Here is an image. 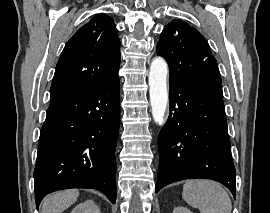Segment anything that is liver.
I'll use <instances>...</instances> for the list:
<instances>
[{"mask_svg": "<svg viewBox=\"0 0 270 213\" xmlns=\"http://www.w3.org/2000/svg\"><path fill=\"white\" fill-rule=\"evenodd\" d=\"M79 197V191L64 190L46 197L42 202V213H62Z\"/></svg>", "mask_w": 270, "mask_h": 213, "instance_id": "1", "label": "liver"}]
</instances>
